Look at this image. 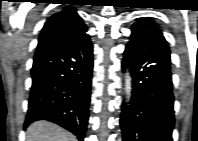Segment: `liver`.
Segmentation results:
<instances>
[{
	"label": "liver",
	"instance_id": "liver-1",
	"mask_svg": "<svg viewBox=\"0 0 198 141\" xmlns=\"http://www.w3.org/2000/svg\"><path fill=\"white\" fill-rule=\"evenodd\" d=\"M26 141H77L66 131L48 121H37L31 124L26 131Z\"/></svg>",
	"mask_w": 198,
	"mask_h": 141
}]
</instances>
